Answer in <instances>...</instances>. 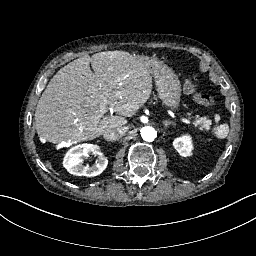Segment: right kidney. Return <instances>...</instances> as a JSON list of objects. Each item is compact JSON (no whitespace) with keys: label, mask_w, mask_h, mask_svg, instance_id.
I'll use <instances>...</instances> for the list:
<instances>
[{"label":"right kidney","mask_w":256,"mask_h":256,"mask_svg":"<svg viewBox=\"0 0 256 256\" xmlns=\"http://www.w3.org/2000/svg\"><path fill=\"white\" fill-rule=\"evenodd\" d=\"M91 153H99L98 146L88 143L74 146L66 153L63 166L73 175L87 177L97 176L106 169L108 160L105 156L100 155L94 165H83V157Z\"/></svg>","instance_id":"obj_1"}]
</instances>
